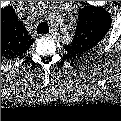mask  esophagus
Masks as SVG:
<instances>
[{
    "label": "esophagus",
    "instance_id": "1",
    "mask_svg": "<svg viewBox=\"0 0 121 121\" xmlns=\"http://www.w3.org/2000/svg\"><path fill=\"white\" fill-rule=\"evenodd\" d=\"M53 33H54L53 30H50V32H49L50 36H51Z\"/></svg>",
    "mask_w": 121,
    "mask_h": 121
}]
</instances>
